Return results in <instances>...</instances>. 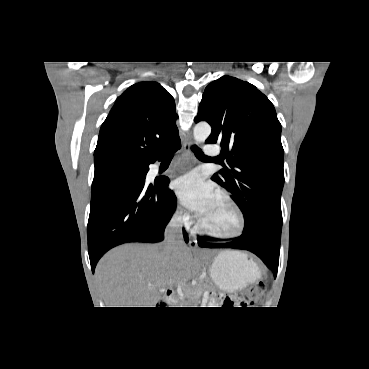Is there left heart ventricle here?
<instances>
[{
  "label": "left heart ventricle",
  "mask_w": 369,
  "mask_h": 369,
  "mask_svg": "<svg viewBox=\"0 0 369 369\" xmlns=\"http://www.w3.org/2000/svg\"><path fill=\"white\" fill-rule=\"evenodd\" d=\"M201 221L211 230L221 234H230L237 227V216L234 210L218 196L201 217Z\"/></svg>",
  "instance_id": "left-heart-ventricle-1"
}]
</instances>
